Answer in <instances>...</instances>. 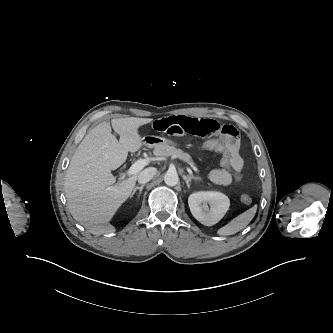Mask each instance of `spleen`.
<instances>
[{
	"label": "spleen",
	"instance_id": "obj_1",
	"mask_svg": "<svg viewBox=\"0 0 333 333\" xmlns=\"http://www.w3.org/2000/svg\"><path fill=\"white\" fill-rule=\"evenodd\" d=\"M256 211H257V205H254L250 209L244 211L243 213L233 218L225 226L218 229L217 234L220 236H229L239 232L252 221V219L256 214Z\"/></svg>",
	"mask_w": 333,
	"mask_h": 333
}]
</instances>
